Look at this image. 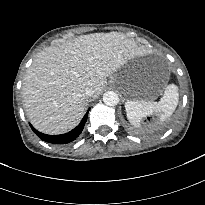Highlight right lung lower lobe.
<instances>
[{"label": "right lung lower lobe", "mask_w": 205, "mask_h": 205, "mask_svg": "<svg viewBox=\"0 0 205 205\" xmlns=\"http://www.w3.org/2000/svg\"><path fill=\"white\" fill-rule=\"evenodd\" d=\"M87 116H88V112L85 114V116L83 117V119L81 120L80 124L77 127H75L70 132L61 135H46L35 130V128L31 124L30 127L37 134V136H39L42 140L46 142L54 143V144H66L72 142L80 135L87 121Z\"/></svg>", "instance_id": "1"}]
</instances>
